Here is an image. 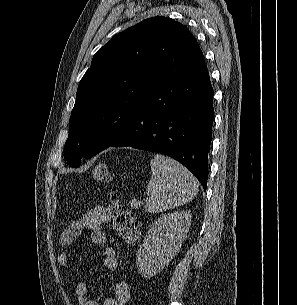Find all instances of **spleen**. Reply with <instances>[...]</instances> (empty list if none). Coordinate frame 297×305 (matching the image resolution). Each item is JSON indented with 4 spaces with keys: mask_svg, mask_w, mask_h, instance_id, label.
Returning a JSON list of instances; mask_svg holds the SVG:
<instances>
[{
    "mask_svg": "<svg viewBox=\"0 0 297 305\" xmlns=\"http://www.w3.org/2000/svg\"><path fill=\"white\" fill-rule=\"evenodd\" d=\"M145 210L158 213L190 202L198 193L196 178L177 161L160 155L151 160Z\"/></svg>",
    "mask_w": 297,
    "mask_h": 305,
    "instance_id": "obj_1",
    "label": "spleen"
}]
</instances>
